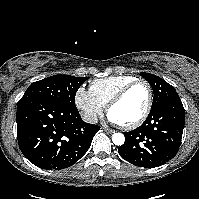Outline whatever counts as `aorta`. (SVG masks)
I'll list each match as a JSON object with an SVG mask.
<instances>
[{
	"label": "aorta",
	"instance_id": "aorta-1",
	"mask_svg": "<svg viewBox=\"0 0 199 199\" xmlns=\"http://www.w3.org/2000/svg\"><path fill=\"white\" fill-rule=\"evenodd\" d=\"M112 141L115 145L121 146L125 142V137L122 133H114L112 135Z\"/></svg>",
	"mask_w": 199,
	"mask_h": 199
}]
</instances>
